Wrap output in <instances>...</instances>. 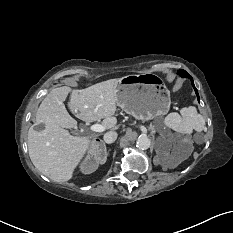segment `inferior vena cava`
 <instances>
[{
  "mask_svg": "<svg viewBox=\"0 0 233 233\" xmlns=\"http://www.w3.org/2000/svg\"><path fill=\"white\" fill-rule=\"evenodd\" d=\"M117 139V133L115 131H109L104 134V141L108 144L113 143Z\"/></svg>",
  "mask_w": 233,
  "mask_h": 233,
  "instance_id": "602c4592",
  "label": "inferior vena cava"
}]
</instances>
